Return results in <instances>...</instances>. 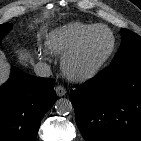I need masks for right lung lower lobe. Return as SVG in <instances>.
<instances>
[{"instance_id":"98d812e1","label":"right lung lower lobe","mask_w":141,"mask_h":141,"mask_svg":"<svg viewBox=\"0 0 141 141\" xmlns=\"http://www.w3.org/2000/svg\"><path fill=\"white\" fill-rule=\"evenodd\" d=\"M55 82L14 68L0 87V141H36L44 114L57 100Z\"/></svg>"}]
</instances>
